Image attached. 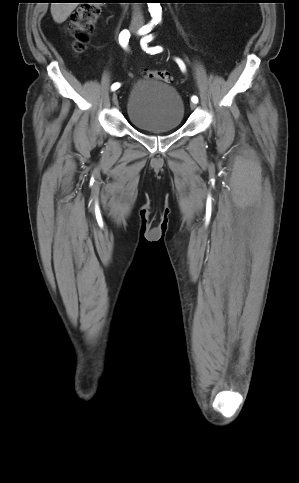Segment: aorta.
Segmentation results:
<instances>
[{
	"mask_svg": "<svg viewBox=\"0 0 299 483\" xmlns=\"http://www.w3.org/2000/svg\"><path fill=\"white\" fill-rule=\"evenodd\" d=\"M148 9L154 21L161 19L162 8L160 3H148Z\"/></svg>",
	"mask_w": 299,
	"mask_h": 483,
	"instance_id": "762f6f07",
	"label": "aorta"
}]
</instances>
